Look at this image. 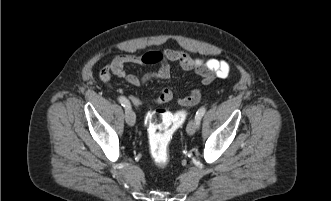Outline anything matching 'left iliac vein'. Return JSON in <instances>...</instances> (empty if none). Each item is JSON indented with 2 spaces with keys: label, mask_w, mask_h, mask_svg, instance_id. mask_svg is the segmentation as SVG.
<instances>
[{
  "label": "left iliac vein",
  "mask_w": 331,
  "mask_h": 201,
  "mask_svg": "<svg viewBox=\"0 0 331 201\" xmlns=\"http://www.w3.org/2000/svg\"><path fill=\"white\" fill-rule=\"evenodd\" d=\"M197 128H198V120L196 118L190 120L186 128L187 134L193 135L196 132Z\"/></svg>",
  "instance_id": "1"
}]
</instances>
